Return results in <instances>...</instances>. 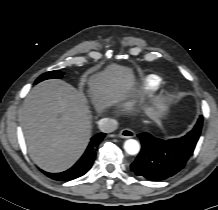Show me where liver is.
I'll list each match as a JSON object with an SVG mask.
<instances>
[{
  "label": "liver",
  "instance_id": "obj_1",
  "mask_svg": "<svg viewBox=\"0 0 218 210\" xmlns=\"http://www.w3.org/2000/svg\"><path fill=\"white\" fill-rule=\"evenodd\" d=\"M88 92L97 112L118 104L135 91L130 68L110 64L92 75ZM166 106L148 108L151 116H162ZM22 129L31 159L41 169L61 172L70 168L85 151L92 131L91 111L84 96L65 81L39 83L26 97Z\"/></svg>",
  "mask_w": 218,
  "mask_h": 210
}]
</instances>
